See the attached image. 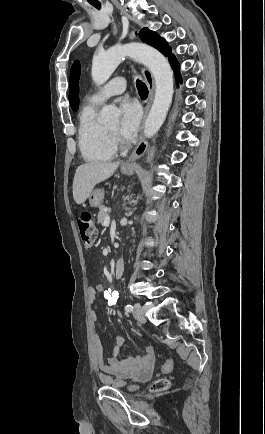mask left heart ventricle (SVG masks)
<instances>
[{"mask_svg": "<svg viewBox=\"0 0 265 434\" xmlns=\"http://www.w3.org/2000/svg\"><path fill=\"white\" fill-rule=\"evenodd\" d=\"M117 124L118 123H114V124H112V125H110V126H108L111 130H114V131H116V129H117Z\"/></svg>", "mask_w": 265, "mask_h": 434, "instance_id": "obj_1", "label": "left heart ventricle"}]
</instances>
